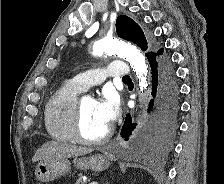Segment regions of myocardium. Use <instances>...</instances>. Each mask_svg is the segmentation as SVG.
I'll list each match as a JSON object with an SVG mask.
<instances>
[{
  "label": "myocardium",
  "mask_w": 224,
  "mask_h": 184,
  "mask_svg": "<svg viewBox=\"0 0 224 184\" xmlns=\"http://www.w3.org/2000/svg\"><path fill=\"white\" fill-rule=\"evenodd\" d=\"M72 131L74 139L78 143L86 145H100L109 140L112 135L113 128L110 126L106 133L99 138L90 139L85 137L82 132V100H78L72 119Z\"/></svg>",
  "instance_id": "f54148a6"
}]
</instances>
